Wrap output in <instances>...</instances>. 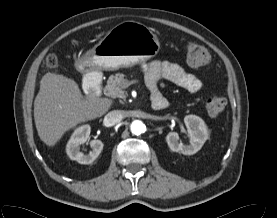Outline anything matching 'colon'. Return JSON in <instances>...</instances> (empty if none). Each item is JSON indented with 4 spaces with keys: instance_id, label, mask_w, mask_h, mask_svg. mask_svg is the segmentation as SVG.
<instances>
[{
    "instance_id": "1",
    "label": "colon",
    "mask_w": 277,
    "mask_h": 218,
    "mask_svg": "<svg viewBox=\"0 0 277 218\" xmlns=\"http://www.w3.org/2000/svg\"><path fill=\"white\" fill-rule=\"evenodd\" d=\"M209 52L207 49L197 43H190L187 46L186 59L189 65L191 66H202L209 61ZM58 60L57 57L53 54L48 55L46 59V64L50 68L57 66ZM227 104V100L224 96L213 95L206 100V109L209 115L215 117L221 114Z\"/></svg>"
}]
</instances>
